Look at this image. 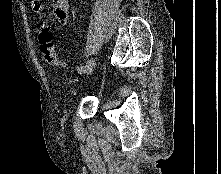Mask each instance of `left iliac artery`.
<instances>
[{
	"label": "left iliac artery",
	"instance_id": "obj_1",
	"mask_svg": "<svg viewBox=\"0 0 221 174\" xmlns=\"http://www.w3.org/2000/svg\"><path fill=\"white\" fill-rule=\"evenodd\" d=\"M84 69H85V66H80V67L78 68V72H79V73H83V72H84Z\"/></svg>",
	"mask_w": 221,
	"mask_h": 174
}]
</instances>
